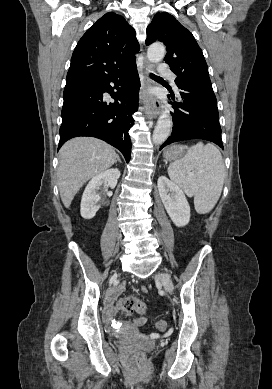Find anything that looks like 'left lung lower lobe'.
I'll return each instance as SVG.
<instances>
[{
  "instance_id": "0a47b994",
  "label": "left lung lower lobe",
  "mask_w": 272,
  "mask_h": 389,
  "mask_svg": "<svg viewBox=\"0 0 272 389\" xmlns=\"http://www.w3.org/2000/svg\"><path fill=\"white\" fill-rule=\"evenodd\" d=\"M176 85L182 102L173 104V131L160 150L173 142L188 139L208 140L223 149L217 100L210 79L184 80Z\"/></svg>"
}]
</instances>
